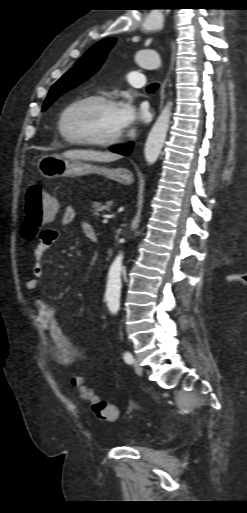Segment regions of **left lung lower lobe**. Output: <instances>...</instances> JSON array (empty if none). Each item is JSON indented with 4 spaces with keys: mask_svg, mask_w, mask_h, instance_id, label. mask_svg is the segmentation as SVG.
<instances>
[{
    "mask_svg": "<svg viewBox=\"0 0 247 513\" xmlns=\"http://www.w3.org/2000/svg\"><path fill=\"white\" fill-rule=\"evenodd\" d=\"M133 145H134V143L130 142V143H127V144H124V145H121V146L112 147V148H110V150L112 152L128 156L131 153L132 149H133Z\"/></svg>",
    "mask_w": 247,
    "mask_h": 513,
    "instance_id": "1",
    "label": "left lung lower lobe"
}]
</instances>
